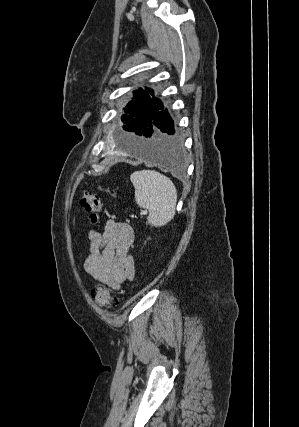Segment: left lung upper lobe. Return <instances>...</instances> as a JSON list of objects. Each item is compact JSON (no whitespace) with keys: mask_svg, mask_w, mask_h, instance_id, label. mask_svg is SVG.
Segmentation results:
<instances>
[{"mask_svg":"<svg viewBox=\"0 0 299 427\" xmlns=\"http://www.w3.org/2000/svg\"><path fill=\"white\" fill-rule=\"evenodd\" d=\"M150 94L153 95V91L149 88L134 92V100L130 101L124 109L127 115L122 116L125 130L142 136L145 130L148 129L146 123H152L159 111L158 107L163 104L160 99L152 98Z\"/></svg>","mask_w":299,"mask_h":427,"instance_id":"left-lung-upper-lobe-1","label":"left lung upper lobe"}]
</instances>
